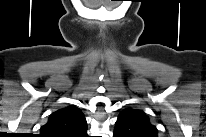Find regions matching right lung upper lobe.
<instances>
[{"mask_svg": "<svg viewBox=\"0 0 206 137\" xmlns=\"http://www.w3.org/2000/svg\"><path fill=\"white\" fill-rule=\"evenodd\" d=\"M40 132L42 137H85L87 122L79 108L68 106L52 113Z\"/></svg>", "mask_w": 206, "mask_h": 137, "instance_id": "cb5924a9", "label": "right lung upper lobe"}]
</instances>
